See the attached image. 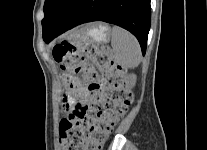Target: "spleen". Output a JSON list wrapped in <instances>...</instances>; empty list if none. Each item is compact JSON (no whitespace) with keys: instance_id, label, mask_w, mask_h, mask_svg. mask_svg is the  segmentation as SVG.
<instances>
[{"instance_id":"spleen-1","label":"spleen","mask_w":207,"mask_h":150,"mask_svg":"<svg viewBox=\"0 0 207 150\" xmlns=\"http://www.w3.org/2000/svg\"><path fill=\"white\" fill-rule=\"evenodd\" d=\"M111 46L115 64L125 68H136L141 61V49L137 39L127 30L114 26L111 32Z\"/></svg>"}]
</instances>
